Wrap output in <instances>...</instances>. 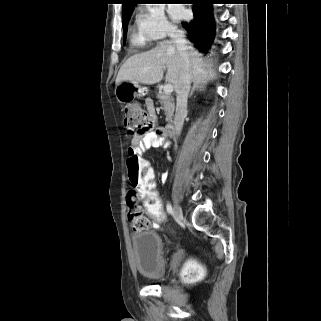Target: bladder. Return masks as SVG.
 <instances>
[{
  "label": "bladder",
  "mask_w": 321,
  "mask_h": 321,
  "mask_svg": "<svg viewBox=\"0 0 321 321\" xmlns=\"http://www.w3.org/2000/svg\"><path fill=\"white\" fill-rule=\"evenodd\" d=\"M131 246L138 272L151 280L165 274L163 242L155 231H140L131 235Z\"/></svg>",
  "instance_id": "31cf9c89"
}]
</instances>
